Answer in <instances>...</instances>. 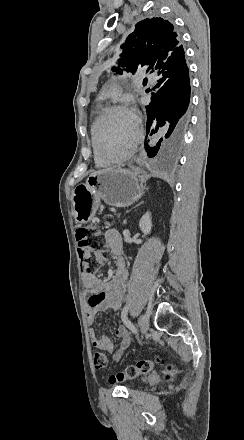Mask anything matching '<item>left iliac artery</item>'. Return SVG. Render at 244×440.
Listing matches in <instances>:
<instances>
[{
  "instance_id": "1",
  "label": "left iliac artery",
  "mask_w": 244,
  "mask_h": 440,
  "mask_svg": "<svg viewBox=\"0 0 244 440\" xmlns=\"http://www.w3.org/2000/svg\"><path fill=\"white\" fill-rule=\"evenodd\" d=\"M128 311H129V306L126 305L124 306L122 313H121V319L123 321V323L132 330V332L136 333V328L134 327V325L130 322V320L128 319L127 315H128Z\"/></svg>"
}]
</instances>
